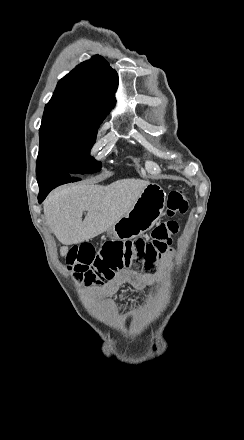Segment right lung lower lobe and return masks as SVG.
Instances as JSON below:
<instances>
[{"instance_id": "right-lung-lower-lobe-1", "label": "right lung lower lobe", "mask_w": 244, "mask_h": 440, "mask_svg": "<svg viewBox=\"0 0 244 440\" xmlns=\"http://www.w3.org/2000/svg\"><path fill=\"white\" fill-rule=\"evenodd\" d=\"M80 180L75 175L68 174V173H62V174H45L41 177L37 178L38 185H39V195H38V202L42 203L43 200L46 198V196L49 194L51 190L56 188L59 185L69 183V182H75Z\"/></svg>"}]
</instances>
